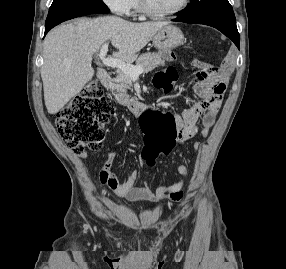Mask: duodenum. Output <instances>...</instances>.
I'll return each instance as SVG.
<instances>
[{
    "mask_svg": "<svg viewBox=\"0 0 286 269\" xmlns=\"http://www.w3.org/2000/svg\"><path fill=\"white\" fill-rule=\"evenodd\" d=\"M99 76L102 80L103 85L106 88L111 89L113 86V80L109 72L104 68H101L99 70ZM122 104L128 106L131 112L134 114H140L144 110V105L137 101L122 100Z\"/></svg>",
    "mask_w": 286,
    "mask_h": 269,
    "instance_id": "duodenum-1",
    "label": "duodenum"
}]
</instances>
